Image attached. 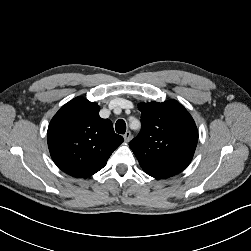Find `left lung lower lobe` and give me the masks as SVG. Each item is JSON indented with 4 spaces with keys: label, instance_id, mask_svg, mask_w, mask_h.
Wrapping results in <instances>:
<instances>
[{
    "label": "left lung lower lobe",
    "instance_id": "1",
    "mask_svg": "<svg viewBox=\"0 0 251 251\" xmlns=\"http://www.w3.org/2000/svg\"><path fill=\"white\" fill-rule=\"evenodd\" d=\"M152 177L157 178V179L168 178V177H159V176H152Z\"/></svg>",
    "mask_w": 251,
    "mask_h": 251
}]
</instances>
